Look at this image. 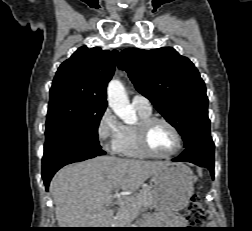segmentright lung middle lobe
Here are the masks:
<instances>
[{
  "label": "right lung middle lobe",
  "instance_id": "1",
  "mask_svg": "<svg viewBox=\"0 0 252 231\" xmlns=\"http://www.w3.org/2000/svg\"><path fill=\"white\" fill-rule=\"evenodd\" d=\"M105 106L85 105L68 99L49 102L44 153L64 145L101 148L98 125Z\"/></svg>",
  "mask_w": 252,
  "mask_h": 231
}]
</instances>
